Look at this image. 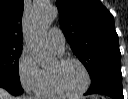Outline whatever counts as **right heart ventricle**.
<instances>
[{
    "label": "right heart ventricle",
    "instance_id": "right-heart-ventricle-1",
    "mask_svg": "<svg viewBox=\"0 0 128 99\" xmlns=\"http://www.w3.org/2000/svg\"><path fill=\"white\" fill-rule=\"evenodd\" d=\"M44 71V81L40 89L37 91V93L44 97V98H56L58 95L53 90L50 79H49V73L47 70Z\"/></svg>",
    "mask_w": 128,
    "mask_h": 99
}]
</instances>
